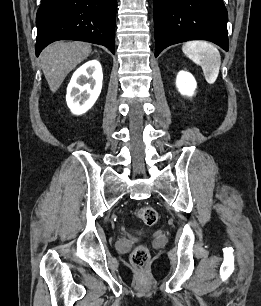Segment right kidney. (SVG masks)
Instances as JSON below:
<instances>
[{
  "label": "right kidney",
  "mask_w": 261,
  "mask_h": 306,
  "mask_svg": "<svg viewBox=\"0 0 261 306\" xmlns=\"http://www.w3.org/2000/svg\"><path fill=\"white\" fill-rule=\"evenodd\" d=\"M102 80V67L97 60L86 62L74 72L66 95L73 114L81 115L94 105L101 93Z\"/></svg>",
  "instance_id": "ca27d5eb"
}]
</instances>
